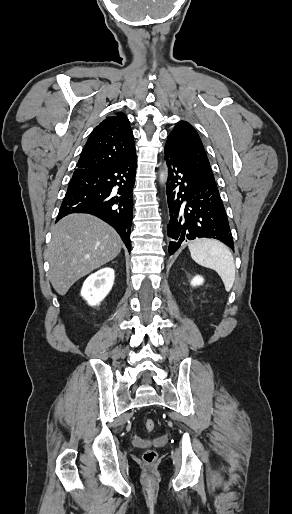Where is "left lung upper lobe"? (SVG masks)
<instances>
[{
	"mask_svg": "<svg viewBox=\"0 0 292 514\" xmlns=\"http://www.w3.org/2000/svg\"><path fill=\"white\" fill-rule=\"evenodd\" d=\"M165 147L175 151L195 172L215 181L202 141L186 121H179L167 138Z\"/></svg>",
	"mask_w": 292,
	"mask_h": 514,
	"instance_id": "left-lung-upper-lobe-1",
	"label": "left lung upper lobe"
}]
</instances>
